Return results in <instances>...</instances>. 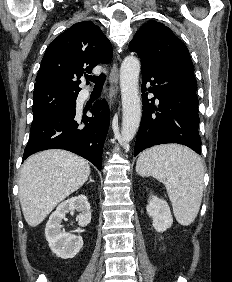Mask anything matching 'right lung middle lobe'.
<instances>
[{
  "mask_svg": "<svg viewBox=\"0 0 232 282\" xmlns=\"http://www.w3.org/2000/svg\"><path fill=\"white\" fill-rule=\"evenodd\" d=\"M77 96L75 93L58 90L34 91L32 124L42 122L60 110L74 107Z\"/></svg>",
  "mask_w": 232,
  "mask_h": 282,
  "instance_id": "1",
  "label": "right lung middle lobe"
}]
</instances>
